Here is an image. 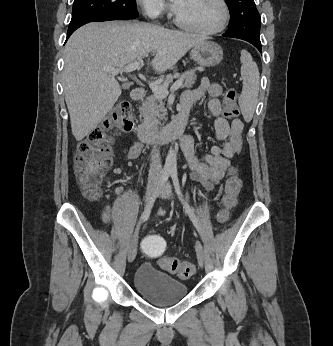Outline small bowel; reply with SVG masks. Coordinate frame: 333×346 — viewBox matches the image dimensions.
<instances>
[{"label":"small bowel","instance_id":"small-bowel-1","mask_svg":"<svg viewBox=\"0 0 333 346\" xmlns=\"http://www.w3.org/2000/svg\"><path fill=\"white\" fill-rule=\"evenodd\" d=\"M221 86L211 83L207 77H203L197 88L183 93L179 115L188 116L194 112L195 104L204 96L208 97V109L214 118L215 134L222 145L213 146L202 159L195 155V140L192 135H186L181 141V149L190 168V179L193 184L199 183L205 191H211L221 182L227 173L230 159L239 154L242 148L243 122L234 118L228 121L224 115L219 100ZM142 144L133 143L123 150V158L126 161L135 160L142 152ZM198 192L200 189L194 187ZM102 220L109 224L111 220V208L106 206L102 213Z\"/></svg>","mask_w":333,"mask_h":346}]
</instances>
